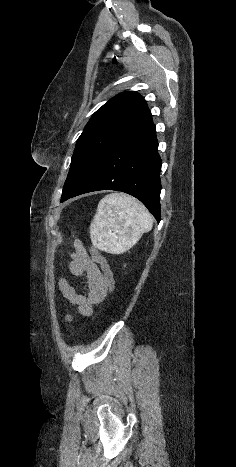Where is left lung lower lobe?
Here are the masks:
<instances>
[{
    "label": "left lung lower lobe",
    "mask_w": 236,
    "mask_h": 467,
    "mask_svg": "<svg viewBox=\"0 0 236 467\" xmlns=\"http://www.w3.org/2000/svg\"><path fill=\"white\" fill-rule=\"evenodd\" d=\"M160 168L155 125L149 113L113 143L89 179L71 197L98 190L122 191L139 199L159 222Z\"/></svg>",
    "instance_id": "1"
}]
</instances>
